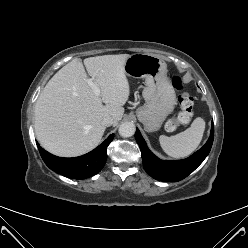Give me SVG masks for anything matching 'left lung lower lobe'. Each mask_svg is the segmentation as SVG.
<instances>
[{
    "label": "left lung lower lobe",
    "mask_w": 248,
    "mask_h": 248,
    "mask_svg": "<svg viewBox=\"0 0 248 248\" xmlns=\"http://www.w3.org/2000/svg\"><path fill=\"white\" fill-rule=\"evenodd\" d=\"M135 138L140 146L143 166L146 172L153 178L166 181L176 182L187 177L193 172L207 157L212 147L214 138V125L212 121L211 133L206 144L190 157L183 160L164 161L156 157L147 147L145 140L139 130H136Z\"/></svg>",
    "instance_id": "0a47b994"
}]
</instances>
